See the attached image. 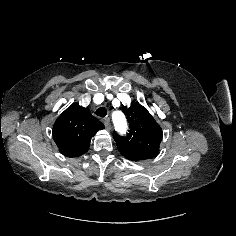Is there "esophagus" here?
Wrapping results in <instances>:
<instances>
[{
    "label": "esophagus",
    "instance_id": "obj_1",
    "mask_svg": "<svg viewBox=\"0 0 236 236\" xmlns=\"http://www.w3.org/2000/svg\"><path fill=\"white\" fill-rule=\"evenodd\" d=\"M103 122H104V125H105V127L109 130L110 128H111V121H110V118H105L104 120H103Z\"/></svg>",
    "mask_w": 236,
    "mask_h": 236
}]
</instances>
